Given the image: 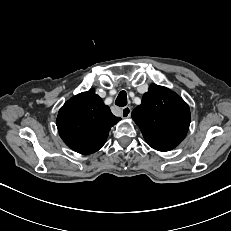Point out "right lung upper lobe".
Returning <instances> with one entry per match:
<instances>
[{"label":"right lung upper lobe","mask_w":231,"mask_h":231,"mask_svg":"<svg viewBox=\"0 0 231 231\" xmlns=\"http://www.w3.org/2000/svg\"><path fill=\"white\" fill-rule=\"evenodd\" d=\"M119 120L95 90L90 89L61 107L56 124L67 146L78 153L90 154L102 148L111 127Z\"/></svg>","instance_id":"cb5924a9"}]
</instances>
